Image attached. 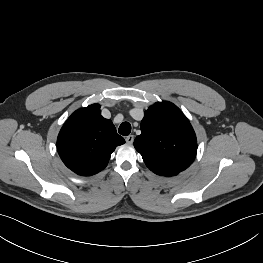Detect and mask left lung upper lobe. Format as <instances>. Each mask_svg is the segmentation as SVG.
I'll return each instance as SVG.
<instances>
[{
    "label": "left lung upper lobe",
    "mask_w": 263,
    "mask_h": 263,
    "mask_svg": "<svg viewBox=\"0 0 263 263\" xmlns=\"http://www.w3.org/2000/svg\"><path fill=\"white\" fill-rule=\"evenodd\" d=\"M134 147L151 171L173 176L192 164L197 140L189 120L177 106L157 102L145 111Z\"/></svg>",
    "instance_id": "obj_1"
}]
</instances>
